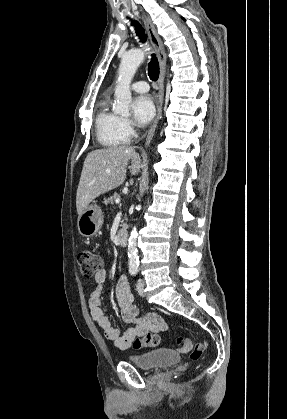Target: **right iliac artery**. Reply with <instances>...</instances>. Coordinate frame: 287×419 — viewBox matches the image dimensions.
I'll return each mask as SVG.
<instances>
[{
  "instance_id": "82829eb1",
  "label": "right iliac artery",
  "mask_w": 287,
  "mask_h": 419,
  "mask_svg": "<svg viewBox=\"0 0 287 419\" xmlns=\"http://www.w3.org/2000/svg\"><path fill=\"white\" fill-rule=\"evenodd\" d=\"M137 273V271L136 270H130V274L131 275H135Z\"/></svg>"
}]
</instances>
